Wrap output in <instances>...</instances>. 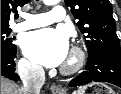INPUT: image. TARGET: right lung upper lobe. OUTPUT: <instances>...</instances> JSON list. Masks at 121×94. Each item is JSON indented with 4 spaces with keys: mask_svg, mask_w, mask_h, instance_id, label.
<instances>
[{
    "mask_svg": "<svg viewBox=\"0 0 121 94\" xmlns=\"http://www.w3.org/2000/svg\"><path fill=\"white\" fill-rule=\"evenodd\" d=\"M29 0H1V30L10 29L9 20L11 12L17 11V7H22Z\"/></svg>",
    "mask_w": 121,
    "mask_h": 94,
    "instance_id": "1",
    "label": "right lung upper lobe"
}]
</instances>
